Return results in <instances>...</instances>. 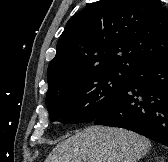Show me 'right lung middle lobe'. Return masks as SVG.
I'll list each match as a JSON object with an SVG mask.
<instances>
[{"label": "right lung middle lobe", "mask_w": 168, "mask_h": 162, "mask_svg": "<svg viewBox=\"0 0 168 162\" xmlns=\"http://www.w3.org/2000/svg\"><path fill=\"white\" fill-rule=\"evenodd\" d=\"M129 74L110 72L84 76L48 90L51 121L84 123L95 120L114 100Z\"/></svg>", "instance_id": "right-lung-middle-lobe-1"}]
</instances>
